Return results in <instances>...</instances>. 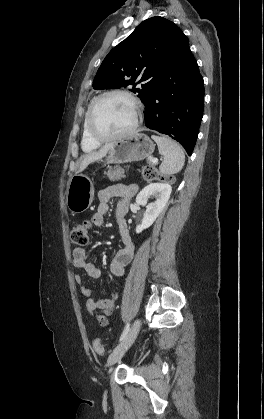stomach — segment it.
<instances>
[{
    "mask_svg": "<svg viewBox=\"0 0 264 419\" xmlns=\"http://www.w3.org/2000/svg\"><path fill=\"white\" fill-rule=\"evenodd\" d=\"M155 145L145 134L137 133L130 138L113 143L106 157V163H126L148 158L154 152ZM94 199L92 180L84 174L74 175L68 184L66 204L72 213L86 211Z\"/></svg>",
    "mask_w": 264,
    "mask_h": 419,
    "instance_id": "obj_1",
    "label": "stomach"
}]
</instances>
